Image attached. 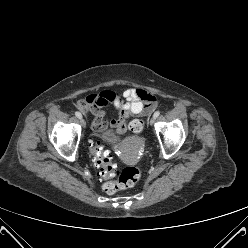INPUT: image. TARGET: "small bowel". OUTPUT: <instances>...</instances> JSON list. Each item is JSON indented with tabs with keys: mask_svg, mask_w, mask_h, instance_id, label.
<instances>
[{
	"mask_svg": "<svg viewBox=\"0 0 248 248\" xmlns=\"http://www.w3.org/2000/svg\"><path fill=\"white\" fill-rule=\"evenodd\" d=\"M88 103L93 104L95 119L92 128L95 132H102L108 126L118 134H123L130 129V117L144 113H153L157 108V101L151 99L149 92L142 88H128L121 94L114 91H104L99 95L90 93L87 95ZM112 105L118 112L117 119L108 120L103 108Z\"/></svg>",
	"mask_w": 248,
	"mask_h": 248,
	"instance_id": "1",
	"label": "small bowel"
}]
</instances>
